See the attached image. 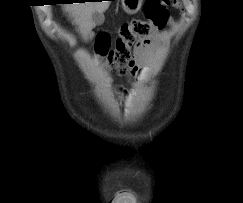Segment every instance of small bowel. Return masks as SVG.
<instances>
[{"mask_svg":"<svg viewBox=\"0 0 243 203\" xmlns=\"http://www.w3.org/2000/svg\"><path fill=\"white\" fill-rule=\"evenodd\" d=\"M165 41V33L158 30L150 38L142 39L135 47L133 59L122 75L126 78H137L141 75L143 66L162 47ZM122 91V90H121Z\"/></svg>","mask_w":243,"mask_h":203,"instance_id":"1","label":"small bowel"}]
</instances>
